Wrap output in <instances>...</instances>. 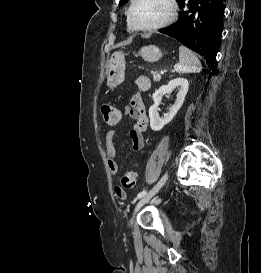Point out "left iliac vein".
Masks as SVG:
<instances>
[{
	"label": "left iliac vein",
	"instance_id": "left-iliac-vein-1",
	"mask_svg": "<svg viewBox=\"0 0 261 273\" xmlns=\"http://www.w3.org/2000/svg\"><path fill=\"white\" fill-rule=\"evenodd\" d=\"M168 179V173L166 172L165 175L162 178V185L166 182V180ZM158 191H156L155 189H152L149 193H147L146 195H144L143 197H141V199L137 202V204L135 205L134 211H133V216L130 220V223L132 224L133 221V217L136 214V212L150 199L152 198V196H154Z\"/></svg>",
	"mask_w": 261,
	"mask_h": 273
}]
</instances>
